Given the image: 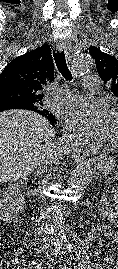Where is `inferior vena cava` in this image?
<instances>
[{
    "instance_id": "inferior-vena-cava-1",
    "label": "inferior vena cava",
    "mask_w": 118,
    "mask_h": 269,
    "mask_svg": "<svg viewBox=\"0 0 118 269\" xmlns=\"http://www.w3.org/2000/svg\"><path fill=\"white\" fill-rule=\"evenodd\" d=\"M56 150L58 151V145L55 146ZM59 162V157L55 153L54 155L50 156L49 159L45 160L43 163L39 165V168H41V175L45 173V170L47 169V165H53V164H58Z\"/></svg>"
}]
</instances>
